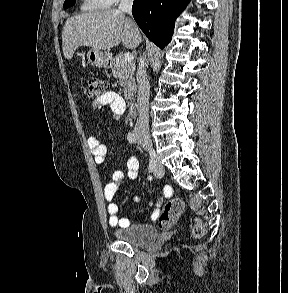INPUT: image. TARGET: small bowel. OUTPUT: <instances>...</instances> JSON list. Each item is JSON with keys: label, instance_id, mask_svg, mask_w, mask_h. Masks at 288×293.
Wrapping results in <instances>:
<instances>
[{"label": "small bowel", "instance_id": "obj_1", "mask_svg": "<svg viewBox=\"0 0 288 293\" xmlns=\"http://www.w3.org/2000/svg\"><path fill=\"white\" fill-rule=\"evenodd\" d=\"M93 106L97 110L107 108L110 115L115 119L121 117L126 109L124 99L114 91H107L101 98L94 101ZM87 144L92 153L94 161L97 164H101L108 154L107 144L101 142L100 139L94 135L88 138ZM138 169L139 160L135 156H130L127 160L128 178L134 179L137 176ZM123 181V172L120 170H116L112 174V181L107 183L104 187V197L109 202L107 206V212L109 214L108 222L109 225L112 227H128L130 225V218L118 217V205L112 202L118 188L123 184ZM133 200L135 202H140V198L138 196H134ZM160 205L161 201L158 200L156 202V208L151 214L152 220H157L160 213Z\"/></svg>", "mask_w": 288, "mask_h": 293}]
</instances>
